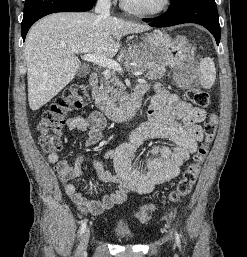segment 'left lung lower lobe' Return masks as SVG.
Returning a JSON list of instances; mask_svg holds the SVG:
<instances>
[{"label":"left lung lower lobe","instance_id":"obj_1","mask_svg":"<svg viewBox=\"0 0 247 257\" xmlns=\"http://www.w3.org/2000/svg\"><path fill=\"white\" fill-rule=\"evenodd\" d=\"M182 23H196L207 28L220 42V25L215 0H175L169 9L150 23L153 27H168Z\"/></svg>","mask_w":247,"mask_h":257}]
</instances>
